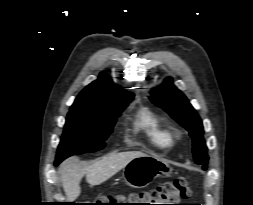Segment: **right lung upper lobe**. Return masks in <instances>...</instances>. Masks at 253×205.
I'll return each instance as SVG.
<instances>
[{
    "instance_id": "obj_1",
    "label": "right lung upper lobe",
    "mask_w": 253,
    "mask_h": 205,
    "mask_svg": "<svg viewBox=\"0 0 253 205\" xmlns=\"http://www.w3.org/2000/svg\"><path fill=\"white\" fill-rule=\"evenodd\" d=\"M133 96L132 93L115 85L104 73H101L98 80L81 91L70 110L99 113L111 104L133 98Z\"/></svg>"
}]
</instances>
